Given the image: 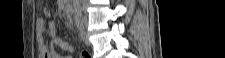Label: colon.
Segmentation results:
<instances>
[{
    "label": "colon",
    "instance_id": "colon-1",
    "mask_svg": "<svg viewBox=\"0 0 225 58\" xmlns=\"http://www.w3.org/2000/svg\"><path fill=\"white\" fill-rule=\"evenodd\" d=\"M79 58H90V54L88 52L84 51L80 54Z\"/></svg>",
    "mask_w": 225,
    "mask_h": 58
}]
</instances>
